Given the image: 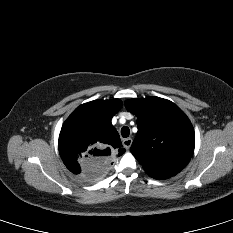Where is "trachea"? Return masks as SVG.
I'll return each instance as SVG.
<instances>
[{
    "label": "trachea",
    "mask_w": 233,
    "mask_h": 233,
    "mask_svg": "<svg viewBox=\"0 0 233 233\" xmlns=\"http://www.w3.org/2000/svg\"><path fill=\"white\" fill-rule=\"evenodd\" d=\"M129 134H130L129 128L126 127V126L122 127V129H121V135H122V137L123 138H127L129 136Z\"/></svg>",
    "instance_id": "1"
}]
</instances>
